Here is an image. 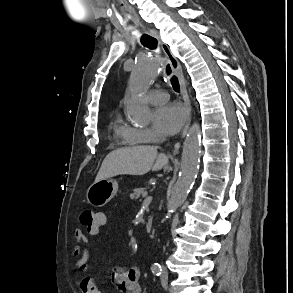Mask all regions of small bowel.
Segmentation results:
<instances>
[{"instance_id":"obj_1","label":"small bowel","mask_w":293,"mask_h":293,"mask_svg":"<svg viewBox=\"0 0 293 293\" xmlns=\"http://www.w3.org/2000/svg\"><path fill=\"white\" fill-rule=\"evenodd\" d=\"M97 215L101 220V227H103L107 222V218L105 214L101 212ZM101 227L95 232L87 231V234L81 229L75 230L76 245L73 248V253L78 256L76 266L80 271H85L87 269L90 258L89 251L83 248L82 244H87L89 242V237L99 236L101 234ZM112 283L121 293H142L140 271L135 266L116 267L112 273ZM93 286L96 285L90 277L83 278L79 283L82 293H91L90 291ZM98 293H101L100 290H98Z\"/></svg>"}]
</instances>
